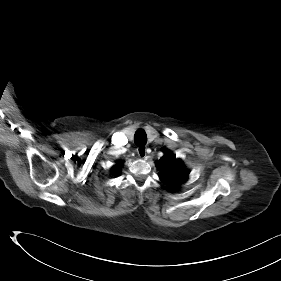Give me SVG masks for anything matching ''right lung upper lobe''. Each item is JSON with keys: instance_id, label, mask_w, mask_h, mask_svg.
<instances>
[{"instance_id": "1", "label": "right lung upper lobe", "mask_w": 281, "mask_h": 281, "mask_svg": "<svg viewBox=\"0 0 281 281\" xmlns=\"http://www.w3.org/2000/svg\"><path fill=\"white\" fill-rule=\"evenodd\" d=\"M122 166V162H118V164H116L113 168H112V171L114 174H118L119 173V170Z\"/></svg>"}]
</instances>
